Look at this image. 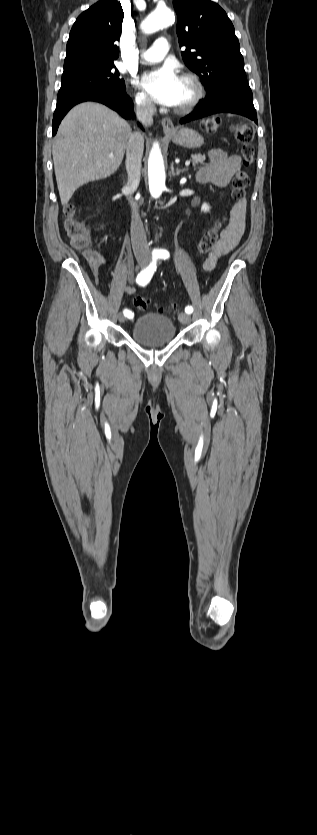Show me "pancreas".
Wrapping results in <instances>:
<instances>
[{
  "label": "pancreas",
  "mask_w": 317,
  "mask_h": 835,
  "mask_svg": "<svg viewBox=\"0 0 317 835\" xmlns=\"http://www.w3.org/2000/svg\"><path fill=\"white\" fill-rule=\"evenodd\" d=\"M191 157L194 164H203L205 161V155L202 154H194Z\"/></svg>",
  "instance_id": "pancreas-1"
}]
</instances>
